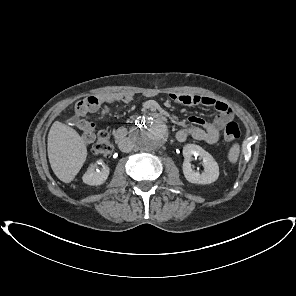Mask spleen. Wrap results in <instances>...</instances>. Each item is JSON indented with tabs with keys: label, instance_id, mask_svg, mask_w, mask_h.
<instances>
[{
	"label": "spleen",
	"instance_id": "spleen-1",
	"mask_svg": "<svg viewBox=\"0 0 296 296\" xmlns=\"http://www.w3.org/2000/svg\"><path fill=\"white\" fill-rule=\"evenodd\" d=\"M240 153V146L238 143H235L231 146L229 153H228V159L231 163H235L238 160Z\"/></svg>",
	"mask_w": 296,
	"mask_h": 296
}]
</instances>
